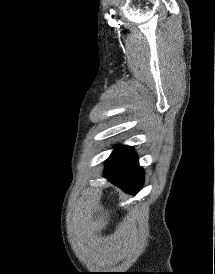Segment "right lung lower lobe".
I'll list each match as a JSON object with an SVG mask.
<instances>
[{"label":"right lung lower lobe","mask_w":215,"mask_h":274,"mask_svg":"<svg viewBox=\"0 0 215 274\" xmlns=\"http://www.w3.org/2000/svg\"><path fill=\"white\" fill-rule=\"evenodd\" d=\"M105 177L124 192L136 195L143 185V169L134 149L122 161L104 170Z\"/></svg>","instance_id":"1"}]
</instances>
